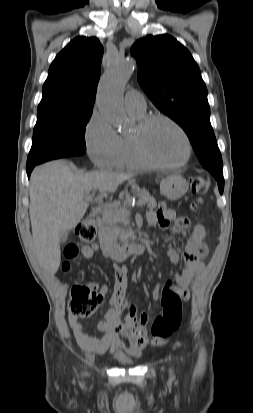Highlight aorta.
Instances as JSON below:
<instances>
[{
  "mask_svg": "<svg viewBox=\"0 0 253 413\" xmlns=\"http://www.w3.org/2000/svg\"><path fill=\"white\" fill-rule=\"evenodd\" d=\"M133 73L131 61L119 60L112 63L99 83L97 106L108 120L121 128L127 126V116L123 107V90Z\"/></svg>",
  "mask_w": 253,
  "mask_h": 413,
  "instance_id": "762f6f07",
  "label": "aorta"
}]
</instances>
